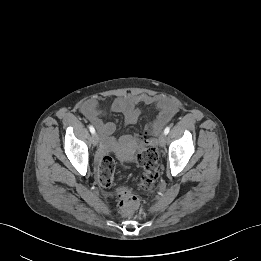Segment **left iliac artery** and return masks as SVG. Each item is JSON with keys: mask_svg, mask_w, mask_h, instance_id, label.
Masks as SVG:
<instances>
[{"mask_svg": "<svg viewBox=\"0 0 261 261\" xmlns=\"http://www.w3.org/2000/svg\"><path fill=\"white\" fill-rule=\"evenodd\" d=\"M169 131H170V127L167 126V127L165 128V130H164V134L167 135V134L169 133Z\"/></svg>", "mask_w": 261, "mask_h": 261, "instance_id": "left-iliac-artery-1", "label": "left iliac artery"}]
</instances>
